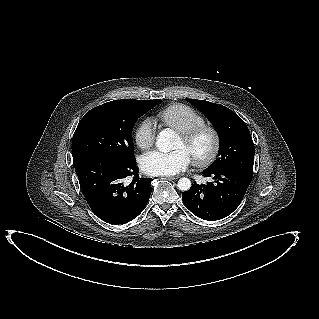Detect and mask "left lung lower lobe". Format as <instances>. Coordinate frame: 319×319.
Returning <instances> with one entry per match:
<instances>
[{
  "label": "left lung lower lobe",
  "mask_w": 319,
  "mask_h": 319,
  "mask_svg": "<svg viewBox=\"0 0 319 319\" xmlns=\"http://www.w3.org/2000/svg\"><path fill=\"white\" fill-rule=\"evenodd\" d=\"M204 177L214 181L194 183L182 193L185 206L204 220H219L230 215L241 203L252 175L235 168L204 170Z\"/></svg>",
  "instance_id": "1"
}]
</instances>
